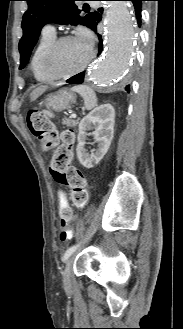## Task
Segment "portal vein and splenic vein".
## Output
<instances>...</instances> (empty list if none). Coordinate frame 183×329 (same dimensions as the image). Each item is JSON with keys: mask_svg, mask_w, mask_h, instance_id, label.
<instances>
[{"mask_svg": "<svg viewBox=\"0 0 183 329\" xmlns=\"http://www.w3.org/2000/svg\"><path fill=\"white\" fill-rule=\"evenodd\" d=\"M76 117V114H71V118L75 119Z\"/></svg>", "mask_w": 183, "mask_h": 329, "instance_id": "obj_1", "label": "portal vein and splenic vein"}]
</instances>
